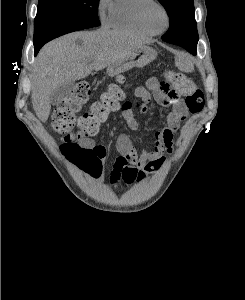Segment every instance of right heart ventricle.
I'll return each instance as SVG.
<instances>
[{
    "label": "right heart ventricle",
    "instance_id": "obj_1",
    "mask_svg": "<svg viewBox=\"0 0 245 300\" xmlns=\"http://www.w3.org/2000/svg\"><path fill=\"white\" fill-rule=\"evenodd\" d=\"M143 0H114L112 2L108 24L111 28L141 35H151L138 21V8Z\"/></svg>",
    "mask_w": 245,
    "mask_h": 300
}]
</instances>
